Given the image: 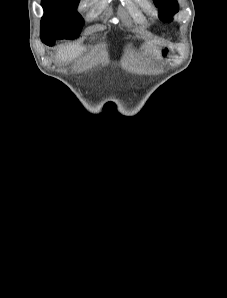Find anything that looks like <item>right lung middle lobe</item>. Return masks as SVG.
I'll use <instances>...</instances> for the list:
<instances>
[{
  "instance_id": "obj_1",
  "label": "right lung middle lobe",
  "mask_w": 227,
  "mask_h": 298,
  "mask_svg": "<svg viewBox=\"0 0 227 298\" xmlns=\"http://www.w3.org/2000/svg\"><path fill=\"white\" fill-rule=\"evenodd\" d=\"M79 1L42 0L44 15L41 20V37L47 36L53 40L78 37L84 23L76 11Z\"/></svg>"
}]
</instances>
